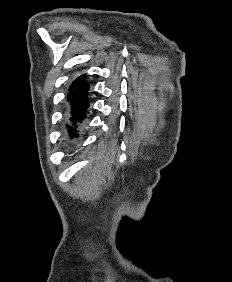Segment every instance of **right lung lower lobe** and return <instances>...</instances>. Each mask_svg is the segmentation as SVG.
I'll use <instances>...</instances> for the list:
<instances>
[{
    "instance_id": "obj_1",
    "label": "right lung lower lobe",
    "mask_w": 232,
    "mask_h": 282,
    "mask_svg": "<svg viewBox=\"0 0 232 282\" xmlns=\"http://www.w3.org/2000/svg\"><path fill=\"white\" fill-rule=\"evenodd\" d=\"M85 75H81L73 81L67 96L70 102V124L66 125L68 134L71 138L78 137L79 129L83 120L86 118L87 108L89 107L88 90L89 85L85 81Z\"/></svg>"
}]
</instances>
